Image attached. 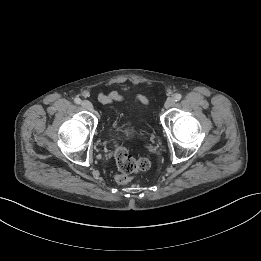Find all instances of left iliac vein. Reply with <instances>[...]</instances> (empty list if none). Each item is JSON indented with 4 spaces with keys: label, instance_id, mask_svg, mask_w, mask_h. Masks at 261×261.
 <instances>
[{
    "label": "left iliac vein",
    "instance_id": "obj_1",
    "mask_svg": "<svg viewBox=\"0 0 261 261\" xmlns=\"http://www.w3.org/2000/svg\"><path fill=\"white\" fill-rule=\"evenodd\" d=\"M175 105V99L173 97H169L165 102V108L169 109Z\"/></svg>",
    "mask_w": 261,
    "mask_h": 261
}]
</instances>
